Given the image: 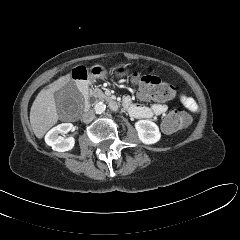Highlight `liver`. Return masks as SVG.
Here are the masks:
<instances>
[{
  "label": "liver",
  "instance_id": "6515ba94",
  "mask_svg": "<svg viewBox=\"0 0 240 240\" xmlns=\"http://www.w3.org/2000/svg\"><path fill=\"white\" fill-rule=\"evenodd\" d=\"M71 81L70 74L62 76L47 89H42L35 98L30 110V124L37 138H42L45 133L58 121L54 93Z\"/></svg>",
  "mask_w": 240,
  "mask_h": 240
}]
</instances>
